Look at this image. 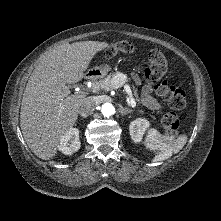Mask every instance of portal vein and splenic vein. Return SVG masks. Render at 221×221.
I'll return each mask as SVG.
<instances>
[{
    "label": "portal vein and splenic vein",
    "instance_id": "obj_1",
    "mask_svg": "<svg viewBox=\"0 0 221 221\" xmlns=\"http://www.w3.org/2000/svg\"><path fill=\"white\" fill-rule=\"evenodd\" d=\"M124 84H122L117 78L115 79V81L113 82V85H112V88L114 89H117V88H120L122 87ZM124 89H125V92L127 94V99H128V102L130 103L131 107H135L136 106V102L132 96V91L129 87V85H124Z\"/></svg>",
    "mask_w": 221,
    "mask_h": 221
}]
</instances>
